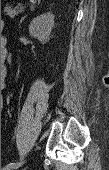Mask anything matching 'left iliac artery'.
I'll use <instances>...</instances> for the list:
<instances>
[{"label": "left iliac artery", "mask_w": 109, "mask_h": 170, "mask_svg": "<svg viewBox=\"0 0 109 170\" xmlns=\"http://www.w3.org/2000/svg\"><path fill=\"white\" fill-rule=\"evenodd\" d=\"M23 163H24L23 161L16 162V163H9V164H7L5 167H3L2 170H8L10 167L18 168V167H20Z\"/></svg>", "instance_id": "obj_1"}]
</instances>
